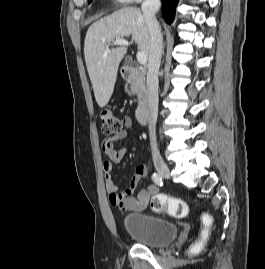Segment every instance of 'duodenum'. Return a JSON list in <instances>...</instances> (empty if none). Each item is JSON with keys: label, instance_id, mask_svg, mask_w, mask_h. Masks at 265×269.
Returning a JSON list of instances; mask_svg holds the SVG:
<instances>
[{"label": "duodenum", "instance_id": "1", "mask_svg": "<svg viewBox=\"0 0 265 269\" xmlns=\"http://www.w3.org/2000/svg\"><path fill=\"white\" fill-rule=\"evenodd\" d=\"M124 79L137 91L139 105L136 108L135 116L139 124H145L149 115V93L146 87L145 74L143 71L126 66L122 70Z\"/></svg>", "mask_w": 265, "mask_h": 269}]
</instances>
